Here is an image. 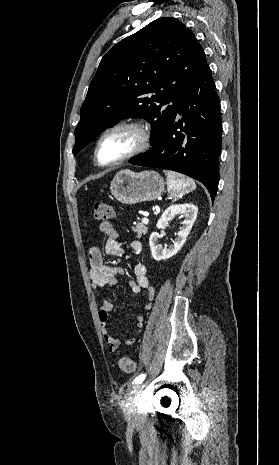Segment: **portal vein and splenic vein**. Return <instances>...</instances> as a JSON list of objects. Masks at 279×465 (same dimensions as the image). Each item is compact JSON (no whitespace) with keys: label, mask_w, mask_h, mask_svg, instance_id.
<instances>
[{"label":"portal vein and splenic vein","mask_w":279,"mask_h":465,"mask_svg":"<svg viewBox=\"0 0 279 465\" xmlns=\"http://www.w3.org/2000/svg\"><path fill=\"white\" fill-rule=\"evenodd\" d=\"M142 222H143L144 224H148V223H149V219L145 217V218L142 219Z\"/></svg>","instance_id":"1"}]
</instances>
